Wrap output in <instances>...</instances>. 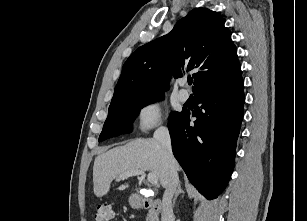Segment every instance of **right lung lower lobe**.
Listing matches in <instances>:
<instances>
[{"label": "right lung lower lobe", "instance_id": "obj_1", "mask_svg": "<svg viewBox=\"0 0 307 221\" xmlns=\"http://www.w3.org/2000/svg\"><path fill=\"white\" fill-rule=\"evenodd\" d=\"M243 79L236 84L194 96L197 120L182 110L169 121L174 156L190 182L207 199L216 198L233 171L236 143L243 119ZM200 104L201 107L197 105Z\"/></svg>", "mask_w": 307, "mask_h": 221}]
</instances>
